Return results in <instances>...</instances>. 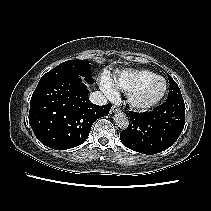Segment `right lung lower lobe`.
<instances>
[{"label": "right lung lower lobe", "mask_w": 211, "mask_h": 211, "mask_svg": "<svg viewBox=\"0 0 211 211\" xmlns=\"http://www.w3.org/2000/svg\"><path fill=\"white\" fill-rule=\"evenodd\" d=\"M88 92L79 75L38 83L29 111V123L37 139L56 150L82 144L95 120L108 115L112 106L91 103Z\"/></svg>", "instance_id": "1"}]
</instances>
